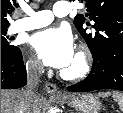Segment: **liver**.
Returning a JSON list of instances; mask_svg holds the SVG:
<instances>
[{
    "label": "liver",
    "instance_id": "liver-1",
    "mask_svg": "<svg viewBox=\"0 0 123 113\" xmlns=\"http://www.w3.org/2000/svg\"><path fill=\"white\" fill-rule=\"evenodd\" d=\"M24 97L21 90H1V113H23ZM42 101L37 96L33 111H41Z\"/></svg>",
    "mask_w": 123,
    "mask_h": 113
}]
</instances>
